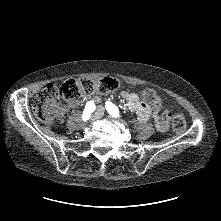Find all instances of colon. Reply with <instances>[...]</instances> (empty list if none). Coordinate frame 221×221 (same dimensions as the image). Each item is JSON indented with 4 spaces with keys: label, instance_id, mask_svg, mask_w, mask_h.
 I'll list each match as a JSON object with an SVG mask.
<instances>
[{
    "label": "colon",
    "instance_id": "5ec220e1",
    "mask_svg": "<svg viewBox=\"0 0 221 221\" xmlns=\"http://www.w3.org/2000/svg\"><path fill=\"white\" fill-rule=\"evenodd\" d=\"M118 84V80L112 77L98 80L70 79L59 86L49 84L36 95L32 109L43 124L51 125L62 112V102L68 105H77L83 97L92 94L103 95L115 90ZM140 95L153 108L158 109L161 106V98L155 91L143 89L140 91ZM163 118L165 119L166 115ZM172 126L176 133H184L186 121L183 115L174 114Z\"/></svg>",
    "mask_w": 221,
    "mask_h": 221
}]
</instances>
